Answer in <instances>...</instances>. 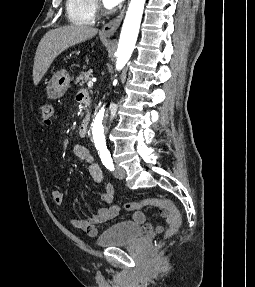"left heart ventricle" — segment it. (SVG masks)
Instances as JSON below:
<instances>
[{
  "label": "left heart ventricle",
  "mask_w": 255,
  "mask_h": 287,
  "mask_svg": "<svg viewBox=\"0 0 255 287\" xmlns=\"http://www.w3.org/2000/svg\"><path fill=\"white\" fill-rule=\"evenodd\" d=\"M109 48H127V47H109Z\"/></svg>",
  "instance_id": "1"
}]
</instances>
